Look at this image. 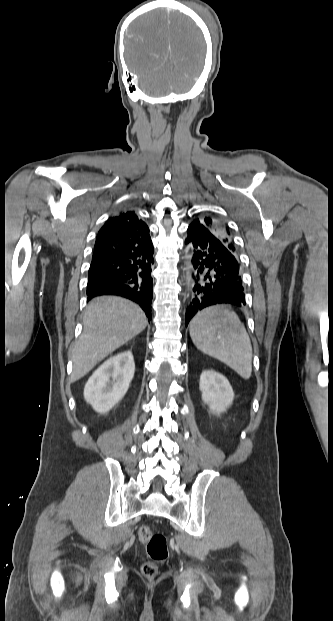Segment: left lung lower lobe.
<instances>
[{
  "mask_svg": "<svg viewBox=\"0 0 333 621\" xmlns=\"http://www.w3.org/2000/svg\"><path fill=\"white\" fill-rule=\"evenodd\" d=\"M185 243L191 247L194 297L186 326L201 309L216 304L245 305L239 259L207 228L189 225Z\"/></svg>",
  "mask_w": 333,
  "mask_h": 621,
  "instance_id": "1",
  "label": "left lung lower lobe"
}]
</instances>
